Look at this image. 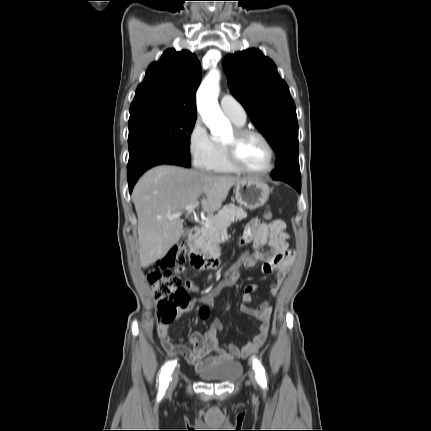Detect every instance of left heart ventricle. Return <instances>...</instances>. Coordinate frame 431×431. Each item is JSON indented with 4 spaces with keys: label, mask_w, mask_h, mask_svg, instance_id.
I'll use <instances>...</instances> for the list:
<instances>
[{
    "label": "left heart ventricle",
    "mask_w": 431,
    "mask_h": 431,
    "mask_svg": "<svg viewBox=\"0 0 431 431\" xmlns=\"http://www.w3.org/2000/svg\"><path fill=\"white\" fill-rule=\"evenodd\" d=\"M232 138L233 132L225 138V141H229ZM238 155L241 162L251 169H264L270 162V155L267 147L262 140L256 136L245 137L239 143Z\"/></svg>",
    "instance_id": "1"
}]
</instances>
